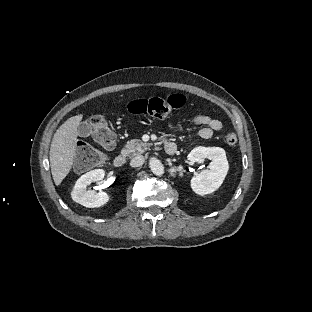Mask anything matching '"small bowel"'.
Here are the masks:
<instances>
[{
	"mask_svg": "<svg viewBox=\"0 0 312 312\" xmlns=\"http://www.w3.org/2000/svg\"><path fill=\"white\" fill-rule=\"evenodd\" d=\"M192 123L198 126H203L200 130V136L203 139L211 138L215 132L221 131L223 127L220 120L202 114L194 115L192 117ZM168 126L173 128L171 122L168 123Z\"/></svg>",
	"mask_w": 312,
	"mask_h": 312,
	"instance_id": "obj_1",
	"label": "small bowel"
}]
</instances>
